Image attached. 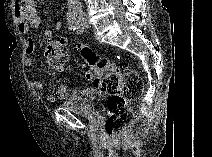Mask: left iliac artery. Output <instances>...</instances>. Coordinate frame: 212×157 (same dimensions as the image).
Listing matches in <instances>:
<instances>
[{"label":"left iliac artery","mask_w":212,"mask_h":157,"mask_svg":"<svg viewBox=\"0 0 212 157\" xmlns=\"http://www.w3.org/2000/svg\"><path fill=\"white\" fill-rule=\"evenodd\" d=\"M77 30L78 32H82L83 28L81 27V25L79 24V22L77 23Z\"/></svg>","instance_id":"44dca946"}]
</instances>
